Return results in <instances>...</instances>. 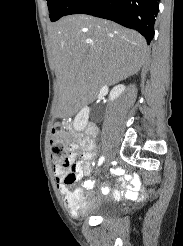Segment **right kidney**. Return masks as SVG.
I'll use <instances>...</instances> for the list:
<instances>
[{"label":"right kidney","mask_w":183,"mask_h":246,"mask_svg":"<svg viewBox=\"0 0 183 246\" xmlns=\"http://www.w3.org/2000/svg\"><path fill=\"white\" fill-rule=\"evenodd\" d=\"M125 86L120 84L115 86L109 94V100L114 101L116 98H118L122 92H124ZM89 118V108L85 107L81 110V112L77 115L74 121V128L76 130H81L84 128V126L87 124Z\"/></svg>","instance_id":"ca27d5eb"}]
</instances>
